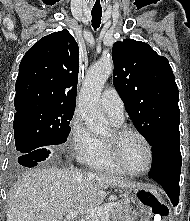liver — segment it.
<instances>
[{
    "label": "liver",
    "mask_w": 190,
    "mask_h": 221,
    "mask_svg": "<svg viewBox=\"0 0 190 221\" xmlns=\"http://www.w3.org/2000/svg\"><path fill=\"white\" fill-rule=\"evenodd\" d=\"M136 185L112 175L35 168L24 172L14 184L8 200L7 221H62L75 211L84 216L89 208L102 204L107 187Z\"/></svg>",
    "instance_id": "6515ba94"
}]
</instances>
